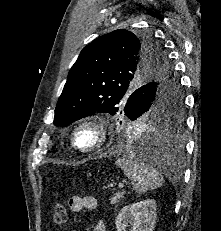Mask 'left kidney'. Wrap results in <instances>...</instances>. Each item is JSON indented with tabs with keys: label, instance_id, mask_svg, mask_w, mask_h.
Segmentation results:
<instances>
[{
	"label": "left kidney",
	"instance_id": "left-kidney-1",
	"mask_svg": "<svg viewBox=\"0 0 221 231\" xmlns=\"http://www.w3.org/2000/svg\"><path fill=\"white\" fill-rule=\"evenodd\" d=\"M156 201L147 199L129 204L121 209L116 218L117 231H153L156 223Z\"/></svg>",
	"mask_w": 221,
	"mask_h": 231
}]
</instances>
